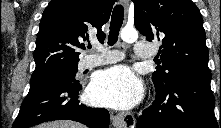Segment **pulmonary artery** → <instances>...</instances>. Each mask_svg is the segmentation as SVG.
I'll return each mask as SVG.
<instances>
[{"label": "pulmonary artery", "mask_w": 221, "mask_h": 128, "mask_svg": "<svg viewBox=\"0 0 221 128\" xmlns=\"http://www.w3.org/2000/svg\"><path fill=\"white\" fill-rule=\"evenodd\" d=\"M95 48L100 51L99 55L90 54L85 56L80 61V68H91L96 66H101L105 64L113 63L122 56L118 51H110L104 49L100 45H95ZM155 53L154 46L146 41L139 40L134 44V51L132 53V57L136 59H147L151 58Z\"/></svg>", "instance_id": "obj_1"}]
</instances>
